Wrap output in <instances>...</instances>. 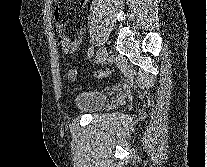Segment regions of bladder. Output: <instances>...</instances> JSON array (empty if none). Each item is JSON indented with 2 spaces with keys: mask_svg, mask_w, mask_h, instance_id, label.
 I'll return each instance as SVG.
<instances>
[{
  "mask_svg": "<svg viewBox=\"0 0 207 167\" xmlns=\"http://www.w3.org/2000/svg\"><path fill=\"white\" fill-rule=\"evenodd\" d=\"M106 102V95L97 91H82L75 95L74 105L82 113L94 114Z\"/></svg>",
  "mask_w": 207,
  "mask_h": 167,
  "instance_id": "obj_1",
  "label": "bladder"
}]
</instances>
